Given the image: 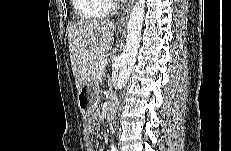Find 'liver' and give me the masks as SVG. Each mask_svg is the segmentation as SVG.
I'll list each match as a JSON object with an SVG mask.
<instances>
[{
	"label": "liver",
	"mask_w": 231,
	"mask_h": 151,
	"mask_svg": "<svg viewBox=\"0 0 231 151\" xmlns=\"http://www.w3.org/2000/svg\"><path fill=\"white\" fill-rule=\"evenodd\" d=\"M115 25L110 20H83L68 28L70 61L79 91L101 56L112 50Z\"/></svg>",
	"instance_id": "6515ba94"
}]
</instances>
